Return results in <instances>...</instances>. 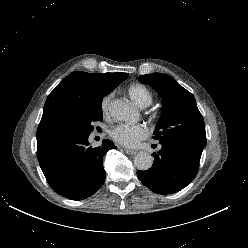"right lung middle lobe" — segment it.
Segmentation results:
<instances>
[{"instance_id":"dd1d6c3e","label":"right lung middle lobe","mask_w":248,"mask_h":248,"mask_svg":"<svg viewBox=\"0 0 248 248\" xmlns=\"http://www.w3.org/2000/svg\"><path fill=\"white\" fill-rule=\"evenodd\" d=\"M105 95H107V93L95 100L83 112L63 118L57 124L56 128L61 127L76 130L82 133H91L94 129V126H92L93 122L102 120L101 103Z\"/></svg>"}]
</instances>
